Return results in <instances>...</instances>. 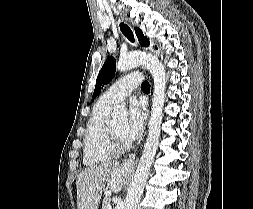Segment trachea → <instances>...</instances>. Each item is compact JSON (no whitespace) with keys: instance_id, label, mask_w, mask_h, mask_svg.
Wrapping results in <instances>:
<instances>
[{"instance_id":"3493384b","label":"trachea","mask_w":253,"mask_h":209,"mask_svg":"<svg viewBox=\"0 0 253 209\" xmlns=\"http://www.w3.org/2000/svg\"><path fill=\"white\" fill-rule=\"evenodd\" d=\"M124 27L126 26V25H123ZM127 27V26H126ZM149 87H150V85H149V82H147V81H144L143 83H142V85H141V88L142 89H149Z\"/></svg>"}]
</instances>
